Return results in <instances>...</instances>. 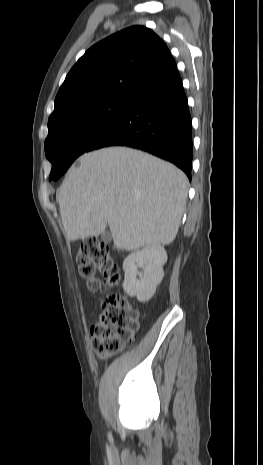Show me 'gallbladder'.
Segmentation results:
<instances>
[{
	"label": "gallbladder",
	"mask_w": 263,
	"mask_h": 465,
	"mask_svg": "<svg viewBox=\"0 0 263 465\" xmlns=\"http://www.w3.org/2000/svg\"><path fill=\"white\" fill-rule=\"evenodd\" d=\"M101 238H102L103 241H105L107 243L111 242V240H112V236L108 231H104L101 234Z\"/></svg>",
	"instance_id": "1"
}]
</instances>
